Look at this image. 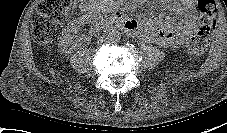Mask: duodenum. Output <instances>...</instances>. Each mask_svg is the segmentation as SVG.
<instances>
[{"instance_id":"obj_1","label":"duodenum","mask_w":227,"mask_h":133,"mask_svg":"<svg viewBox=\"0 0 227 133\" xmlns=\"http://www.w3.org/2000/svg\"><path fill=\"white\" fill-rule=\"evenodd\" d=\"M102 26L106 30H127L130 31L128 23L122 21L115 13H109L102 21Z\"/></svg>"}]
</instances>
